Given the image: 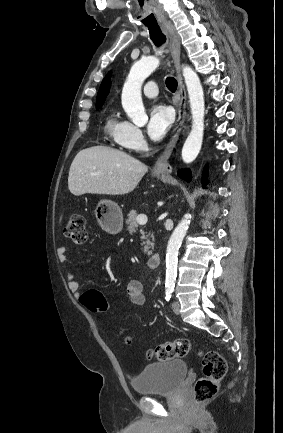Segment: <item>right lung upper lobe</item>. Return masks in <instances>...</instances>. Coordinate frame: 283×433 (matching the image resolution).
Listing matches in <instances>:
<instances>
[{
    "mask_svg": "<svg viewBox=\"0 0 283 433\" xmlns=\"http://www.w3.org/2000/svg\"><path fill=\"white\" fill-rule=\"evenodd\" d=\"M110 75H111V72H109L105 76V78L103 79V81L101 83V86L99 88L98 95H97L96 109L99 107H102V105L106 99V96L109 93L110 85H111Z\"/></svg>",
    "mask_w": 283,
    "mask_h": 433,
    "instance_id": "obj_1",
    "label": "right lung upper lobe"
}]
</instances>
